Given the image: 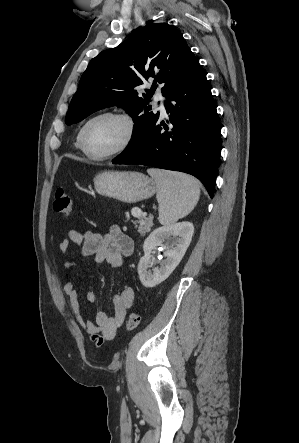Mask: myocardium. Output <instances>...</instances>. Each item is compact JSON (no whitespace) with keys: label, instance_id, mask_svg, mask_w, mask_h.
I'll return each instance as SVG.
<instances>
[{"label":"myocardium","instance_id":"f54148a6","mask_svg":"<svg viewBox=\"0 0 299 443\" xmlns=\"http://www.w3.org/2000/svg\"><path fill=\"white\" fill-rule=\"evenodd\" d=\"M103 117H113V118L121 120L125 124L126 135H125V138L122 141V143L117 148H115L114 150H112L108 153L97 155V154H93L92 152H90L86 146V131H87V128L89 127V125L93 121H95L99 118H103ZM135 131H136L135 122L129 114H127L125 112H121V111H114V110L103 111V112H100V113L92 116L90 119H88L85 122V124L83 125V127L81 128L80 137H79L80 149L90 159L106 160V159L112 158V157L117 156V155L121 154L122 152H124L131 145V143L135 137Z\"/></svg>","mask_w":299,"mask_h":443}]
</instances>
